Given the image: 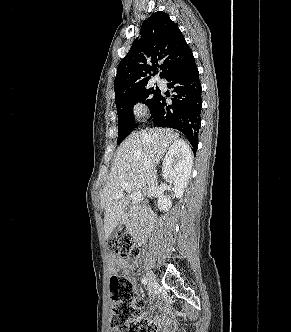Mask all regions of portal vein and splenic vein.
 I'll return each instance as SVG.
<instances>
[{
  "label": "portal vein and splenic vein",
  "instance_id": "portal-vein-and-splenic-vein-1",
  "mask_svg": "<svg viewBox=\"0 0 291 332\" xmlns=\"http://www.w3.org/2000/svg\"><path fill=\"white\" fill-rule=\"evenodd\" d=\"M122 188L127 191L128 193H130V186L128 183H124L122 185ZM120 195H117V198H119ZM131 199L134 203L140 202L142 200V194L140 192H132L131 193Z\"/></svg>",
  "mask_w": 291,
  "mask_h": 332
}]
</instances>
